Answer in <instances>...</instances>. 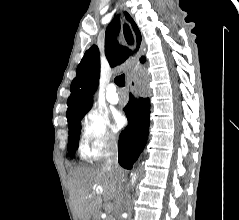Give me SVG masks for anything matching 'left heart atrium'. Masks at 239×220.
Wrapping results in <instances>:
<instances>
[{
    "mask_svg": "<svg viewBox=\"0 0 239 220\" xmlns=\"http://www.w3.org/2000/svg\"><path fill=\"white\" fill-rule=\"evenodd\" d=\"M124 118L121 114L115 113L114 114V130L117 131L119 130L123 125H124Z\"/></svg>",
    "mask_w": 239,
    "mask_h": 220,
    "instance_id": "left-heart-atrium-1",
    "label": "left heart atrium"
}]
</instances>
